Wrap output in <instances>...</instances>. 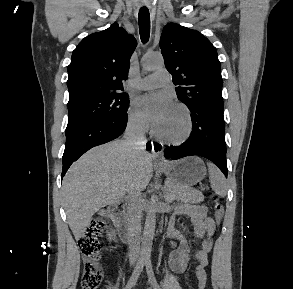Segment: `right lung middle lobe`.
<instances>
[{
	"label": "right lung middle lobe",
	"mask_w": 293,
	"mask_h": 289,
	"mask_svg": "<svg viewBox=\"0 0 293 289\" xmlns=\"http://www.w3.org/2000/svg\"><path fill=\"white\" fill-rule=\"evenodd\" d=\"M128 104L129 97L122 92L89 95L70 100L66 134L93 122L125 115Z\"/></svg>",
	"instance_id": "dd1d6c3e"
}]
</instances>
